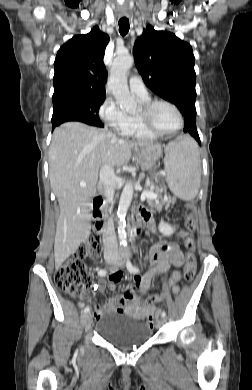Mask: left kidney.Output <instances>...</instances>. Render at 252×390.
<instances>
[{
    "label": "left kidney",
    "instance_id": "obj_1",
    "mask_svg": "<svg viewBox=\"0 0 252 390\" xmlns=\"http://www.w3.org/2000/svg\"><path fill=\"white\" fill-rule=\"evenodd\" d=\"M159 231L164 235V236H171L174 231H175V228L171 225H169L168 223H165L163 221L160 222L159 224Z\"/></svg>",
    "mask_w": 252,
    "mask_h": 390
}]
</instances>
